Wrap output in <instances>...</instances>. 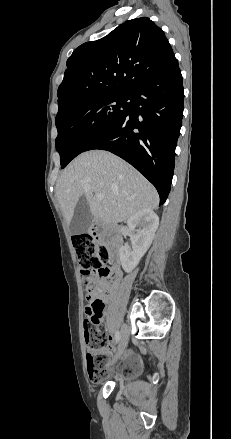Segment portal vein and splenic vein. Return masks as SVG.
Returning a JSON list of instances; mask_svg holds the SVG:
<instances>
[{"label": "portal vein and splenic vein", "mask_w": 231, "mask_h": 439, "mask_svg": "<svg viewBox=\"0 0 231 439\" xmlns=\"http://www.w3.org/2000/svg\"><path fill=\"white\" fill-rule=\"evenodd\" d=\"M96 198H97L98 200H102V199H104V195L101 194V193H97V194H96Z\"/></svg>", "instance_id": "obj_1"}]
</instances>
